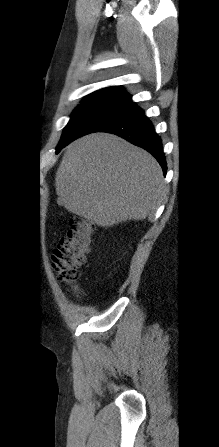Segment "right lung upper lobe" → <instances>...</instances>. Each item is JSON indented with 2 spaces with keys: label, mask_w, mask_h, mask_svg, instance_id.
<instances>
[{
  "label": "right lung upper lobe",
  "mask_w": 219,
  "mask_h": 447,
  "mask_svg": "<svg viewBox=\"0 0 219 447\" xmlns=\"http://www.w3.org/2000/svg\"><path fill=\"white\" fill-rule=\"evenodd\" d=\"M105 89H112V90H116V91H119V92H122V93H124V94H127V95H129L124 89H122V87H120V86H114V87H109V88H105ZM130 96V95H129Z\"/></svg>",
  "instance_id": "1"
}]
</instances>
